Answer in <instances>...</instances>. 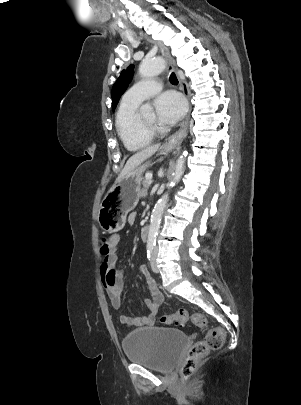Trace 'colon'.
Segmentation results:
<instances>
[{
	"label": "colon",
	"mask_w": 301,
	"mask_h": 405,
	"mask_svg": "<svg viewBox=\"0 0 301 405\" xmlns=\"http://www.w3.org/2000/svg\"><path fill=\"white\" fill-rule=\"evenodd\" d=\"M113 237L112 231H106L103 237L101 251L107 254L110 251L111 244L108 238ZM194 325L200 328L207 326V320L204 315L195 313L190 316ZM189 320V315L185 309H179L173 314L163 315L160 319L163 324H185ZM225 340L224 331L219 328H211L207 331L203 340L198 341L192 345L188 350L185 358L180 365V374L184 379H188L197 369L200 361L206 357L211 350L219 349Z\"/></svg>",
	"instance_id": "obj_1"
}]
</instances>
